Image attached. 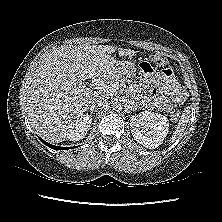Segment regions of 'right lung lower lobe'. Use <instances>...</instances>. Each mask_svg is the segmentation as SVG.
<instances>
[{"label": "right lung lower lobe", "instance_id": "obj_1", "mask_svg": "<svg viewBox=\"0 0 222 222\" xmlns=\"http://www.w3.org/2000/svg\"><path fill=\"white\" fill-rule=\"evenodd\" d=\"M40 140L45 144V145H47L48 147H50V148H52V149H55V150H62V149H66V147H58V146H54V145H52V144H50V143H47V142H45L44 140H42L41 138H40ZM69 147H67V149H68Z\"/></svg>", "mask_w": 222, "mask_h": 222}]
</instances>
